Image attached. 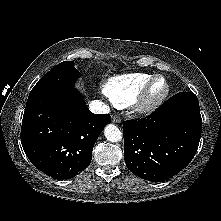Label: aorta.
I'll use <instances>...</instances> for the list:
<instances>
[{
	"label": "aorta",
	"instance_id": "1",
	"mask_svg": "<svg viewBox=\"0 0 221 221\" xmlns=\"http://www.w3.org/2000/svg\"><path fill=\"white\" fill-rule=\"evenodd\" d=\"M104 135L110 142H118L122 139V132L117 126L113 124H109L105 127Z\"/></svg>",
	"mask_w": 221,
	"mask_h": 221
}]
</instances>
